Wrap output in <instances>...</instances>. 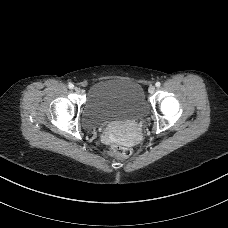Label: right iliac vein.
Here are the masks:
<instances>
[{"mask_svg":"<svg viewBox=\"0 0 228 228\" xmlns=\"http://www.w3.org/2000/svg\"><path fill=\"white\" fill-rule=\"evenodd\" d=\"M74 90H75L76 92H80V89H79L78 87H75Z\"/></svg>","mask_w":228,"mask_h":228,"instance_id":"right-iliac-vein-1","label":"right iliac vein"}]
</instances>
